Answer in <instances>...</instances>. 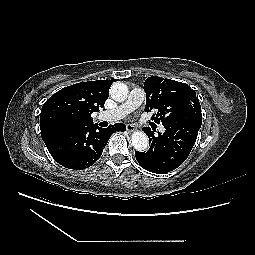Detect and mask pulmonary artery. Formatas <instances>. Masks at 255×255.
Here are the masks:
<instances>
[{
  "mask_svg": "<svg viewBox=\"0 0 255 255\" xmlns=\"http://www.w3.org/2000/svg\"><path fill=\"white\" fill-rule=\"evenodd\" d=\"M145 100V93L141 88H133L130 91L128 99L120 106L113 110L105 111L100 115V118L104 121L113 122L119 120L130 112L138 108ZM159 130L164 131V127L160 126Z\"/></svg>",
  "mask_w": 255,
  "mask_h": 255,
  "instance_id": "e3ab8cb5",
  "label": "pulmonary artery"
}]
</instances>
